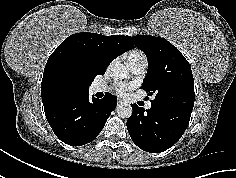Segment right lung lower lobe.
Returning <instances> with one entry per match:
<instances>
[{
	"instance_id": "right-lung-lower-lobe-1",
	"label": "right lung lower lobe",
	"mask_w": 236,
	"mask_h": 178,
	"mask_svg": "<svg viewBox=\"0 0 236 178\" xmlns=\"http://www.w3.org/2000/svg\"><path fill=\"white\" fill-rule=\"evenodd\" d=\"M116 97L106 93L103 99L89 91L44 103V111L55 135L64 143L81 146L93 141L116 108Z\"/></svg>"
}]
</instances>
